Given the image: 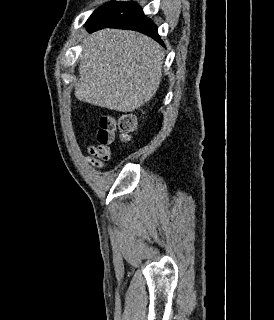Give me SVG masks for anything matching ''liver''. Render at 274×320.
<instances>
[{
	"label": "liver",
	"instance_id": "6515ba94",
	"mask_svg": "<svg viewBox=\"0 0 274 320\" xmlns=\"http://www.w3.org/2000/svg\"><path fill=\"white\" fill-rule=\"evenodd\" d=\"M79 62L77 100L116 112H135L160 86L163 52L144 34L105 28L83 40Z\"/></svg>",
	"mask_w": 274,
	"mask_h": 320
}]
</instances>
